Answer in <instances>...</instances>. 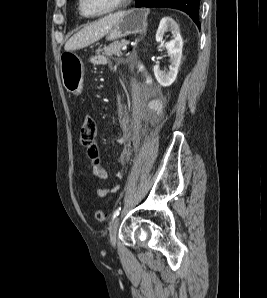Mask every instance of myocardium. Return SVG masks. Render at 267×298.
Instances as JSON below:
<instances>
[{"label": "myocardium", "instance_id": "f54148a6", "mask_svg": "<svg viewBox=\"0 0 267 298\" xmlns=\"http://www.w3.org/2000/svg\"><path fill=\"white\" fill-rule=\"evenodd\" d=\"M131 0H118V2L110 9H108L107 11H104L102 13H98V14H89L87 13L84 8H83V0H79V10L80 13L88 18H99V17H103L115 12L120 11L121 9H123Z\"/></svg>", "mask_w": 267, "mask_h": 298}]
</instances>
